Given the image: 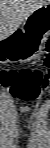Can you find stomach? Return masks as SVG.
I'll return each mask as SVG.
<instances>
[{
  "label": "stomach",
  "instance_id": "1",
  "mask_svg": "<svg viewBox=\"0 0 50 148\" xmlns=\"http://www.w3.org/2000/svg\"><path fill=\"white\" fill-rule=\"evenodd\" d=\"M24 34L20 43L7 45L0 52L1 63L29 62L42 52L50 36V5L37 9L26 19Z\"/></svg>",
  "mask_w": 50,
  "mask_h": 148
}]
</instances>
